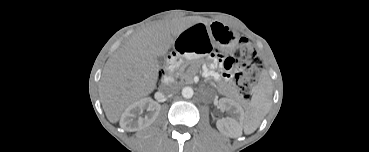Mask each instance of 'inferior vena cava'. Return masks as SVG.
Instances as JSON below:
<instances>
[{
  "mask_svg": "<svg viewBox=\"0 0 369 152\" xmlns=\"http://www.w3.org/2000/svg\"><path fill=\"white\" fill-rule=\"evenodd\" d=\"M178 90V85L175 82H168V83H164L161 91L164 94H174L176 93Z\"/></svg>",
  "mask_w": 369,
  "mask_h": 152,
  "instance_id": "602c4592",
  "label": "inferior vena cava"
}]
</instances>
